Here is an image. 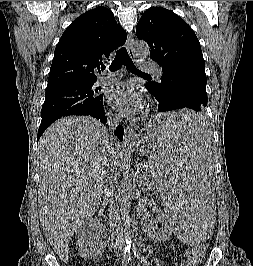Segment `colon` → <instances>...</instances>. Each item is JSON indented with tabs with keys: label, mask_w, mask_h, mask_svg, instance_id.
Listing matches in <instances>:
<instances>
[{
	"label": "colon",
	"mask_w": 253,
	"mask_h": 266,
	"mask_svg": "<svg viewBox=\"0 0 253 266\" xmlns=\"http://www.w3.org/2000/svg\"><path fill=\"white\" fill-rule=\"evenodd\" d=\"M207 248H191L186 255V266H197Z\"/></svg>",
	"instance_id": "5ec220e1"
}]
</instances>
